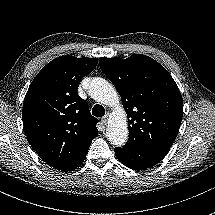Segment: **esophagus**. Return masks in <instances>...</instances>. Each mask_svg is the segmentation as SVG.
<instances>
[{
	"instance_id": "1",
	"label": "esophagus",
	"mask_w": 215,
	"mask_h": 215,
	"mask_svg": "<svg viewBox=\"0 0 215 215\" xmlns=\"http://www.w3.org/2000/svg\"><path fill=\"white\" fill-rule=\"evenodd\" d=\"M109 115H110V113L109 112H107L105 115H104V117H102V123L103 124H106L107 123V120H108V118H109Z\"/></svg>"
}]
</instances>
